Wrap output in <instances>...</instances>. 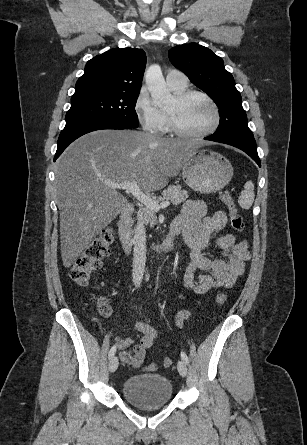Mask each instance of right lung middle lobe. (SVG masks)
<instances>
[{
	"label": "right lung middle lobe",
	"mask_w": 307,
	"mask_h": 445,
	"mask_svg": "<svg viewBox=\"0 0 307 445\" xmlns=\"http://www.w3.org/2000/svg\"><path fill=\"white\" fill-rule=\"evenodd\" d=\"M139 94H89L71 98V108L66 114V123L107 119L138 127L135 105Z\"/></svg>",
	"instance_id": "dd1d6c3e"
}]
</instances>
